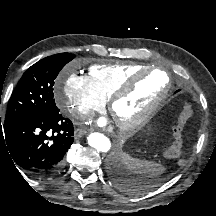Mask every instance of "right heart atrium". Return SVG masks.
<instances>
[{
	"label": "right heart atrium",
	"instance_id": "right-heart-atrium-1",
	"mask_svg": "<svg viewBox=\"0 0 216 216\" xmlns=\"http://www.w3.org/2000/svg\"><path fill=\"white\" fill-rule=\"evenodd\" d=\"M54 99L62 113L68 117L89 118L101 111L106 100L93 87L89 76L66 70L54 89Z\"/></svg>",
	"mask_w": 216,
	"mask_h": 216
}]
</instances>
